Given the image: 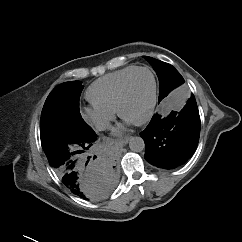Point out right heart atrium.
Instances as JSON below:
<instances>
[{
	"label": "right heart atrium",
	"mask_w": 242,
	"mask_h": 242,
	"mask_svg": "<svg viewBox=\"0 0 242 242\" xmlns=\"http://www.w3.org/2000/svg\"><path fill=\"white\" fill-rule=\"evenodd\" d=\"M81 117L97 130H106L115 118V111L98 107L94 104L84 106L80 111Z\"/></svg>",
	"instance_id": "d8ad5b80"
}]
</instances>
